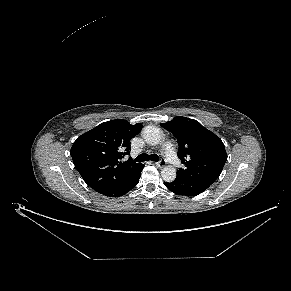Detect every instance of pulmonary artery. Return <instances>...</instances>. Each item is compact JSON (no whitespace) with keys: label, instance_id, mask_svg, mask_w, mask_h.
<instances>
[{"label":"pulmonary artery","instance_id":"obj_1","mask_svg":"<svg viewBox=\"0 0 291 291\" xmlns=\"http://www.w3.org/2000/svg\"><path fill=\"white\" fill-rule=\"evenodd\" d=\"M166 160L173 166H179L180 162L173 150V146L170 142H166L163 146Z\"/></svg>","mask_w":291,"mask_h":291}]
</instances>
